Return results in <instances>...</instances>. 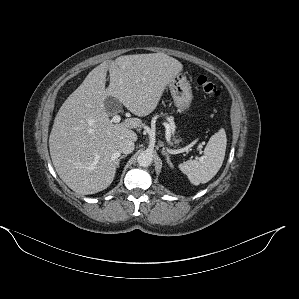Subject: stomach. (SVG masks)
Segmentation results:
<instances>
[{"mask_svg":"<svg viewBox=\"0 0 299 299\" xmlns=\"http://www.w3.org/2000/svg\"><path fill=\"white\" fill-rule=\"evenodd\" d=\"M170 93L177 111L185 114L189 111L193 100L191 86L183 73L176 75L169 83Z\"/></svg>","mask_w":299,"mask_h":299,"instance_id":"1","label":"stomach"}]
</instances>
